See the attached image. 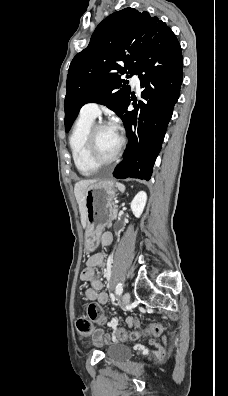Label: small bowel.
I'll return each mask as SVG.
<instances>
[{"label": "small bowel", "instance_id": "obj_1", "mask_svg": "<svg viewBox=\"0 0 228 396\" xmlns=\"http://www.w3.org/2000/svg\"><path fill=\"white\" fill-rule=\"evenodd\" d=\"M113 236L111 233L106 232L102 235L101 242L102 245L108 247L112 244ZM105 262V255L103 253H96L88 257L86 261V266L81 272L80 278L82 281L88 283L89 287L85 292V297L88 300L95 301L99 305H104L108 302V295L102 291L103 283L100 279L96 277V267L103 265ZM129 325L132 327L136 324L134 319L128 320ZM94 339L97 341L109 340L110 336L106 334L103 330H97L94 335ZM156 345L154 342H152ZM157 355L162 357L164 351L159 348L158 345Z\"/></svg>", "mask_w": 228, "mask_h": 396}]
</instances>
